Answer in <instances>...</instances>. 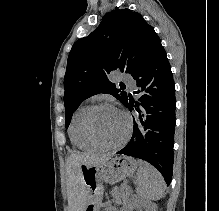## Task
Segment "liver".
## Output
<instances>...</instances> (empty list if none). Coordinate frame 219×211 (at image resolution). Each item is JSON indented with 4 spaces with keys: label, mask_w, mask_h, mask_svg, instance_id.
Returning a JSON list of instances; mask_svg holds the SVG:
<instances>
[{
    "label": "liver",
    "mask_w": 219,
    "mask_h": 211,
    "mask_svg": "<svg viewBox=\"0 0 219 211\" xmlns=\"http://www.w3.org/2000/svg\"><path fill=\"white\" fill-rule=\"evenodd\" d=\"M110 155H86V153H72L67 159V199L69 211H84L86 195L84 185L81 183L79 165H96L101 161H107Z\"/></svg>",
    "instance_id": "6515ba94"
}]
</instances>
